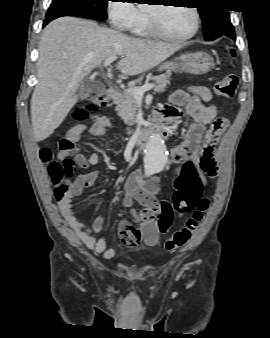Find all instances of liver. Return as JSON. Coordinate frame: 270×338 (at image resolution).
Instances as JSON below:
<instances>
[{
  "label": "liver",
  "instance_id": "liver-1",
  "mask_svg": "<svg viewBox=\"0 0 270 338\" xmlns=\"http://www.w3.org/2000/svg\"><path fill=\"white\" fill-rule=\"evenodd\" d=\"M181 44L126 36L95 22L62 17L49 23L39 43L38 83L31 98V120L37 142L48 138L77 102L82 80L113 55L123 76H133L159 65Z\"/></svg>",
  "mask_w": 270,
  "mask_h": 338
}]
</instances>
